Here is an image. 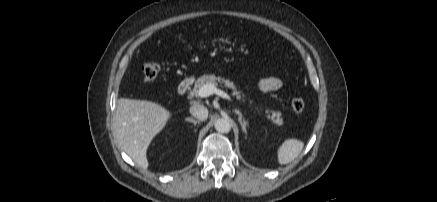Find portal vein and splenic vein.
Returning a JSON list of instances; mask_svg holds the SVG:
<instances>
[{
  "instance_id": "18ae733b",
  "label": "portal vein and splenic vein",
  "mask_w": 437,
  "mask_h": 202,
  "mask_svg": "<svg viewBox=\"0 0 437 202\" xmlns=\"http://www.w3.org/2000/svg\"><path fill=\"white\" fill-rule=\"evenodd\" d=\"M212 94H216V95H218V96H220L222 98L231 100L230 96L226 92H224V91H222L220 89H217L216 86L211 84V83L205 84L204 86H202L198 90V96L201 97V98L208 97V96H210Z\"/></svg>"
}]
</instances>
